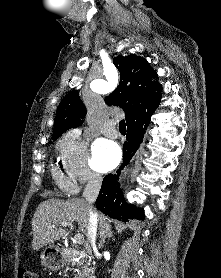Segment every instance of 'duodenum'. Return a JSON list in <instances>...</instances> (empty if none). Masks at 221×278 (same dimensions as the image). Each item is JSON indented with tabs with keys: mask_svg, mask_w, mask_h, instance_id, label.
I'll use <instances>...</instances> for the list:
<instances>
[{
	"mask_svg": "<svg viewBox=\"0 0 221 278\" xmlns=\"http://www.w3.org/2000/svg\"><path fill=\"white\" fill-rule=\"evenodd\" d=\"M60 250L66 254V259L82 256V253L75 249L60 247Z\"/></svg>",
	"mask_w": 221,
	"mask_h": 278,
	"instance_id": "obj_1",
	"label": "duodenum"
}]
</instances>
